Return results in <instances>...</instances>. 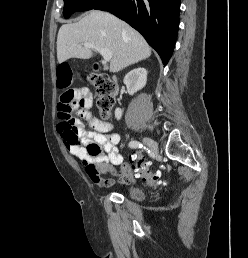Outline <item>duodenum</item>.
I'll use <instances>...</instances> for the list:
<instances>
[{
    "label": "duodenum",
    "instance_id": "obj_1",
    "mask_svg": "<svg viewBox=\"0 0 248 258\" xmlns=\"http://www.w3.org/2000/svg\"><path fill=\"white\" fill-rule=\"evenodd\" d=\"M96 67H97V65H96ZM112 82L114 84V94L116 95V93L118 91V82H117L116 77H112Z\"/></svg>",
    "mask_w": 248,
    "mask_h": 258
}]
</instances>
